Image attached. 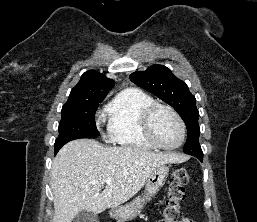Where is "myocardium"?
Here are the masks:
<instances>
[{
  "label": "myocardium",
  "mask_w": 257,
  "mask_h": 222,
  "mask_svg": "<svg viewBox=\"0 0 257 222\" xmlns=\"http://www.w3.org/2000/svg\"><path fill=\"white\" fill-rule=\"evenodd\" d=\"M161 109L169 111L175 117V119L179 124L181 137H180V141L176 145H173V146L163 145L157 140V138L154 135L153 128H152V121L155 114ZM141 127H142L143 135L146 138V140L151 145H153L155 148H158V149L168 150V151L179 149L184 144L186 139V126H185L184 120L182 119L181 115L172 106L167 104L154 103L153 105L148 107L142 115Z\"/></svg>",
  "instance_id": "f54148a6"
}]
</instances>
